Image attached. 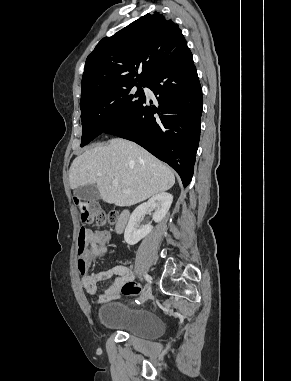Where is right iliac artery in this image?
Masks as SVG:
<instances>
[{
  "mask_svg": "<svg viewBox=\"0 0 291 381\" xmlns=\"http://www.w3.org/2000/svg\"><path fill=\"white\" fill-rule=\"evenodd\" d=\"M144 277H145L146 281H147L149 284H151V283L153 282L152 277H151L150 275L145 274Z\"/></svg>",
  "mask_w": 291,
  "mask_h": 381,
  "instance_id": "obj_1",
  "label": "right iliac artery"
}]
</instances>
